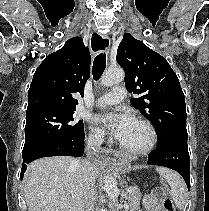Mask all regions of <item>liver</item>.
I'll list each match as a JSON object with an SVG mask.
<instances>
[{"instance_id":"6515ba94","label":"liver","mask_w":209,"mask_h":211,"mask_svg":"<svg viewBox=\"0 0 209 211\" xmlns=\"http://www.w3.org/2000/svg\"><path fill=\"white\" fill-rule=\"evenodd\" d=\"M88 187L79 160L53 156L29 164L23 190L28 211H85Z\"/></svg>"}]
</instances>
